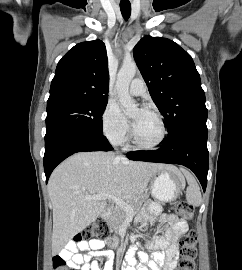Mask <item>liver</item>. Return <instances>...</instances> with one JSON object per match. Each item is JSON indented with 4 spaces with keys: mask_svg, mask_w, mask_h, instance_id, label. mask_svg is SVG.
I'll list each match as a JSON object with an SVG mask.
<instances>
[{
    "mask_svg": "<svg viewBox=\"0 0 242 270\" xmlns=\"http://www.w3.org/2000/svg\"><path fill=\"white\" fill-rule=\"evenodd\" d=\"M162 170L179 172L172 165L132 162L100 151L79 152L62 162L48 182L53 206V252H59L106 208V200H88L86 196L110 194L133 201Z\"/></svg>",
    "mask_w": 242,
    "mask_h": 270,
    "instance_id": "1",
    "label": "liver"
}]
</instances>
